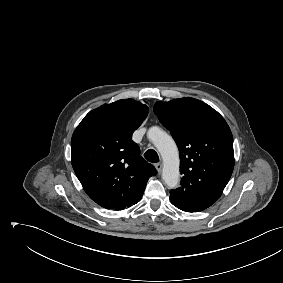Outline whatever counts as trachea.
Listing matches in <instances>:
<instances>
[{"instance_id": "trachea-1", "label": "trachea", "mask_w": 283, "mask_h": 283, "mask_svg": "<svg viewBox=\"0 0 283 283\" xmlns=\"http://www.w3.org/2000/svg\"><path fill=\"white\" fill-rule=\"evenodd\" d=\"M144 157L146 160H148L151 163H157L159 162L158 154L155 150L149 149L144 153Z\"/></svg>"}]
</instances>
